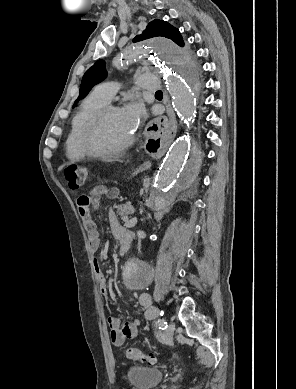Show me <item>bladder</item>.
I'll use <instances>...</instances> for the list:
<instances>
[{"mask_svg":"<svg viewBox=\"0 0 296 389\" xmlns=\"http://www.w3.org/2000/svg\"><path fill=\"white\" fill-rule=\"evenodd\" d=\"M127 382L132 389H152L163 379V373L155 368L134 365L126 374Z\"/></svg>","mask_w":296,"mask_h":389,"instance_id":"obj_1","label":"bladder"}]
</instances>
